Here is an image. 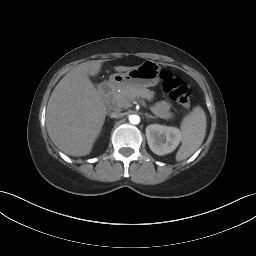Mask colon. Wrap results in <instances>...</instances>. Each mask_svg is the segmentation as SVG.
<instances>
[{
    "instance_id": "colon-1",
    "label": "colon",
    "mask_w": 256,
    "mask_h": 256,
    "mask_svg": "<svg viewBox=\"0 0 256 256\" xmlns=\"http://www.w3.org/2000/svg\"><path fill=\"white\" fill-rule=\"evenodd\" d=\"M163 91L184 108L190 107L191 95L187 85L172 71L165 69L160 73Z\"/></svg>"
}]
</instances>
